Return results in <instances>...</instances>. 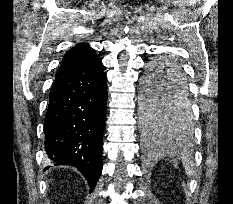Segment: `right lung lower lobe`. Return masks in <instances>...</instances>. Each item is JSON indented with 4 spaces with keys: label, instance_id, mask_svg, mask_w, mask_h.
Returning <instances> with one entry per match:
<instances>
[{
    "label": "right lung lower lobe",
    "instance_id": "98d812e1",
    "mask_svg": "<svg viewBox=\"0 0 233 204\" xmlns=\"http://www.w3.org/2000/svg\"><path fill=\"white\" fill-rule=\"evenodd\" d=\"M98 65L77 64L54 82L44 122L45 150L56 165L76 167L94 188L102 172L107 78Z\"/></svg>",
    "mask_w": 233,
    "mask_h": 204
}]
</instances>
